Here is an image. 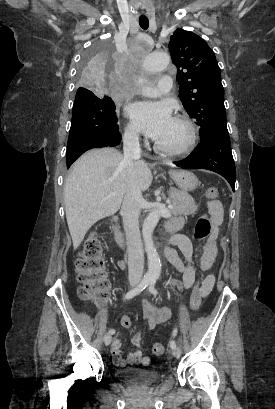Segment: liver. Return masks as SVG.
<instances>
[{"label":"liver","mask_w":275,"mask_h":409,"mask_svg":"<svg viewBox=\"0 0 275 409\" xmlns=\"http://www.w3.org/2000/svg\"><path fill=\"white\" fill-rule=\"evenodd\" d=\"M133 170L140 190H147L152 174L146 162L134 160ZM127 172L123 154L116 148H93L74 162L64 186L66 219L74 251L94 223L120 209L127 192Z\"/></svg>","instance_id":"1"}]
</instances>
